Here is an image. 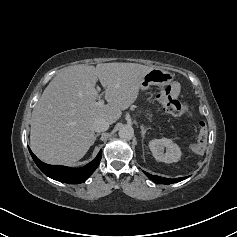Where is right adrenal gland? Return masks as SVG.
I'll return each mask as SVG.
<instances>
[{
    "mask_svg": "<svg viewBox=\"0 0 237 237\" xmlns=\"http://www.w3.org/2000/svg\"><path fill=\"white\" fill-rule=\"evenodd\" d=\"M100 135V133H97L95 136H94V140H93V144L94 142L96 141V138Z\"/></svg>",
    "mask_w": 237,
    "mask_h": 237,
    "instance_id": "right-adrenal-gland-1",
    "label": "right adrenal gland"
}]
</instances>
